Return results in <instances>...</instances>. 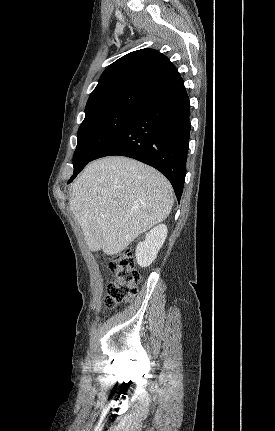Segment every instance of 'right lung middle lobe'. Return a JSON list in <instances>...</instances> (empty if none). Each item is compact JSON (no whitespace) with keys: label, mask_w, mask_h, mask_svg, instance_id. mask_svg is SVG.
<instances>
[{"label":"right lung middle lobe","mask_w":275,"mask_h":431,"mask_svg":"<svg viewBox=\"0 0 275 431\" xmlns=\"http://www.w3.org/2000/svg\"><path fill=\"white\" fill-rule=\"evenodd\" d=\"M137 109L115 108L90 114L78 130L74 173L81 171L94 154L134 115Z\"/></svg>","instance_id":"obj_1"}]
</instances>
